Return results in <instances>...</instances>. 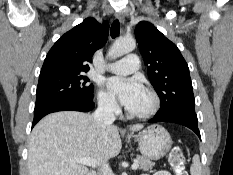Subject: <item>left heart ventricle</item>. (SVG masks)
<instances>
[{
    "mask_svg": "<svg viewBox=\"0 0 233 175\" xmlns=\"http://www.w3.org/2000/svg\"><path fill=\"white\" fill-rule=\"evenodd\" d=\"M150 106V100L145 93L142 94L140 99L130 108L132 112H140L147 109Z\"/></svg>",
    "mask_w": 233,
    "mask_h": 175,
    "instance_id": "left-heart-ventricle-1",
    "label": "left heart ventricle"
}]
</instances>
